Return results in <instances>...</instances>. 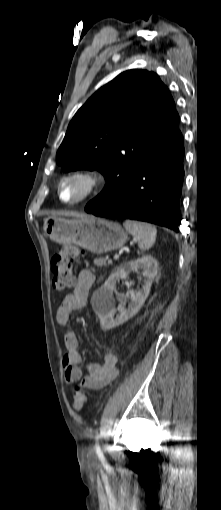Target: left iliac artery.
Segmentation results:
<instances>
[{
    "label": "left iliac artery",
    "mask_w": 221,
    "mask_h": 510,
    "mask_svg": "<svg viewBox=\"0 0 221 510\" xmlns=\"http://www.w3.org/2000/svg\"><path fill=\"white\" fill-rule=\"evenodd\" d=\"M95 448H96V451H97V452H100V451H101L100 446L98 445V443H96Z\"/></svg>",
    "instance_id": "44dca946"
}]
</instances>
